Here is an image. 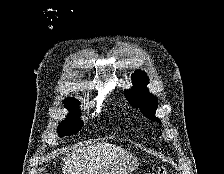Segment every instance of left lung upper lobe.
<instances>
[{
  "instance_id": "1",
  "label": "left lung upper lobe",
  "mask_w": 224,
  "mask_h": 174,
  "mask_svg": "<svg viewBox=\"0 0 224 174\" xmlns=\"http://www.w3.org/2000/svg\"><path fill=\"white\" fill-rule=\"evenodd\" d=\"M132 82L134 86L125 91L127 100L132 106L140 108L147 118L160 123V120L155 116L158 100L152 93H149L146 87L149 82L147 74L141 70H136L132 75Z\"/></svg>"
}]
</instances>
